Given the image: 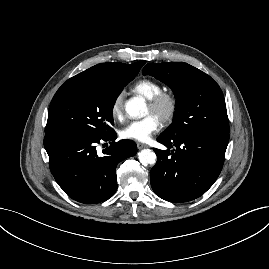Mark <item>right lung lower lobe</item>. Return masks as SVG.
<instances>
[{
    "instance_id": "1",
    "label": "right lung lower lobe",
    "mask_w": 269,
    "mask_h": 269,
    "mask_svg": "<svg viewBox=\"0 0 269 269\" xmlns=\"http://www.w3.org/2000/svg\"><path fill=\"white\" fill-rule=\"evenodd\" d=\"M116 138L115 131L103 137L73 132L45 135L51 173L70 198L83 204H97L115 194L117 164L137 151L134 141L115 142ZM103 141L111 144L99 156L96 146Z\"/></svg>"
}]
</instances>
